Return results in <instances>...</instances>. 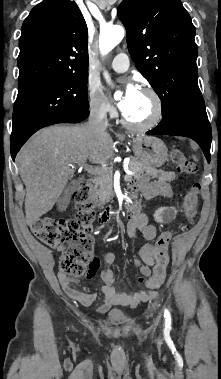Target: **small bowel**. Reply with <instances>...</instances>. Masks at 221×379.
I'll return each instance as SVG.
<instances>
[{
	"label": "small bowel",
	"instance_id": "1",
	"mask_svg": "<svg viewBox=\"0 0 221 379\" xmlns=\"http://www.w3.org/2000/svg\"><path fill=\"white\" fill-rule=\"evenodd\" d=\"M132 188L135 191H140L147 199L154 198L156 196H164L166 198L171 197L172 190L170 185L162 180L148 181L147 179H140L136 181ZM127 235L130 238L136 237L137 234L148 241H152L157 236L156 226L149 223L148 217L145 213L137 212L134 215L129 216L127 223ZM156 246L153 244H145L140 249V259H135L134 264L138 267L140 273L148 277L151 275V268L155 263ZM104 261L107 265L105 271L100 272L101 279V291L104 295L103 303L97 308L98 313L106 312L113 305H126L135 307L140 302L152 299L156 296L154 291L145 292L142 290L125 292L117 289L115 285L114 273L112 266L115 262V255L112 252H107L103 255ZM90 266L87 267L86 272L83 273V278L88 282L94 281V274H98L101 271L102 266L96 258V255L90 258ZM60 284L65 294L72 300L82 304L83 306H91L97 297L95 289L91 288L87 291H81L74 287L78 282L76 278L70 277L64 272L58 274Z\"/></svg>",
	"mask_w": 221,
	"mask_h": 379
}]
</instances>
